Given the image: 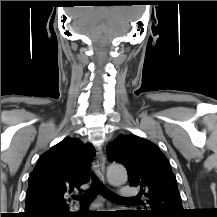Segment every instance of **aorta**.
<instances>
[{
    "label": "aorta",
    "mask_w": 217,
    "mask_h": 217,
    "mask_svg": "<svg viewBox=\"0 0 217 217\" xmlns=\"http://www.w3.org/2000/svg\"><path fill=\"white\" fill-rule=\"evenodd\" d=\"M107 179L112 185H122L127 181V171L119 164H111L107 170Z\"/></svg>",
    "instance_id": "1"
}]
</instances>
